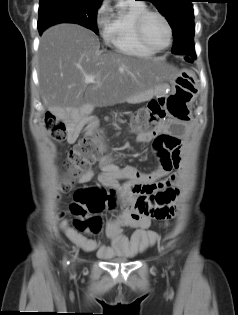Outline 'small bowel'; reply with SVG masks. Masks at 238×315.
<instances>
[{"label":"small bowel","mask_w":238,"mask_h":315,"mask_svg":"<svg viewBox=\"0 0 238 315\" xmlns=\"http://www.w3.org/2000/svg\"><path fill=\"white\" fill-rule=\"evenodd\" d=\"M96 126L97 122L93 119L72 120L68 128V141L73 143L83 127L91 131ZM164 131L160 127L149 132H138L135 138L139 144L149 143V147H154L158 167L151 172H142L133 166H117L112 154H105L100 158L101 172L98 179L100 183L116 191L123 210L106 228V234L111 241L109 245L85 237L78 233L75 226H69L62 221V231L76 246L85 251H96L101 258L111 259L116 256H135L157 241V233L149 230L151 220L167 222L175 216L176 206L167 204L175 199V186L182 179L181 172H171L182 169L183 141L168 135L157 136ZM93 176L92 169H85L74 180L84 184ZM155 192L158 193L153 195ZM126 226L135 228L130 238L124 234Z\"/></svg>","instance_id":"1"}]
</instances>
